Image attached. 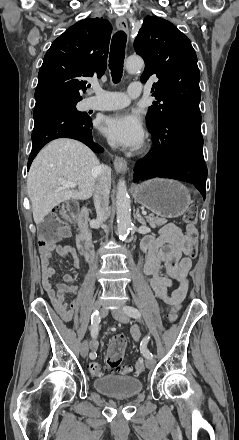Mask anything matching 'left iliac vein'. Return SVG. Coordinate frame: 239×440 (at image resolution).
I'll return each mask as SVG.
<instances>
[{"mask_svg": "<svg viewBox=\"0 0 239 440\" xmlns=\"http://www.w3.org/2000/svg\"><path fill=\"white\" fill-rule=\"evenodd\" d=\"M112 316L121 323H128L129 317L122 309H116L112 311ZM156 365V360L154 358H149L146 360V366L149 369H154Z\"/></svg>", "mask_w": 239, "mask_h": 440, "instance_id": "4c4485c4", "label": "left iliac vein"}]
</instances>
